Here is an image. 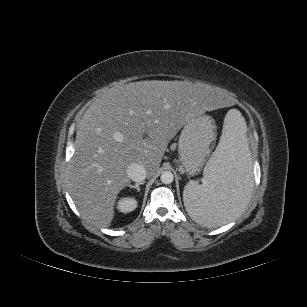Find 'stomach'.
<instances>
[{"label": "stomach", "instance_id": "1", "mask_svg": "<svg viewBox=\"0 0 307 307\" xmlns=\"http://www.w3.org/2000/svg\"><path fill=\"white\" fill-rule=\"evenodd\" d=\"M216 126L205 114L191 117L183 126L178 141L179 161L184 171L197 175L208 159L214 142Z\"/></svg>", "mask_w": 307, "mask_h": 307}]
</instances>
